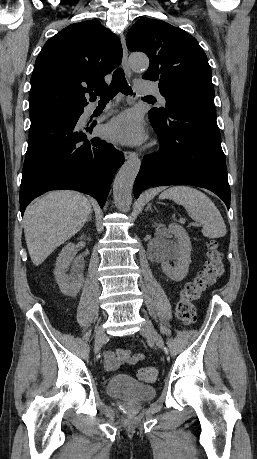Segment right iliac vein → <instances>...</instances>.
Returning a JSON list of instances; mask_svg holds the SVG:
<instances>
[{
  "instance_id": "right-iliac-vein-1",
  "label": "right iliac vein",
  "mask_w": 257,
  "mask_h": 459,
  "mask_svg": "<svg viewBox=\"0 0 257 459\" xmlns=\"http://www.w3.org/2000/svg\"><path fill=\"white\" fill-rule=\"evenodd\" d=\"M105 339H106V334H105V330H104V327L103 326H99L97 329H96V334H95V344H94V350H95V353H99L104 342H105Z\"/></svg>"
}]
</instances>
